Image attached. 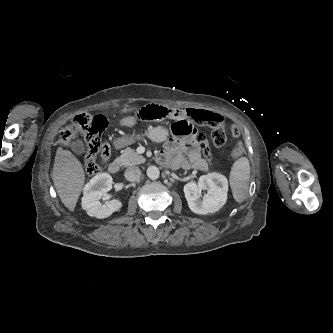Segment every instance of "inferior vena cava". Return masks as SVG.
Wrapping results in <instances>:
<instances>
[{
  "mask_svg": "<svg viewBox=\"0 0 333 333\" xmlns=\"http://www.w3.org/2000/svg\"><path fill=\"white\" fill-rule=\"evenodd\" d=\"M124 176L128 181H136L141 176V170L138 167H129L125 170Z\"/></svg>",
  "mask_w": 333,
  "mask_h": 333,
  "instance_id": "obj_1",
  "label": "inferior vena cava"
}]
</instances>
